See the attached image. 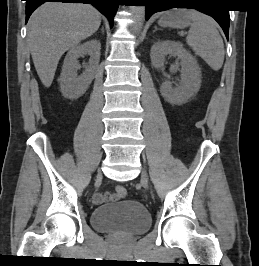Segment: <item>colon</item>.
I'll use <instances>...</instances> for the list:
<instances>
[{
    "label": "colon",
    "instance_id": "colon-1",
    "mask_svg": "<svg viewBox=\"0 0 259 266\" xmlns=\"http://www.w3.org/2000/svg\"><path fill=\"white\" fill-rule=\"evenodd\" d=\"M115 194L118 198H124L127 195V189L124 186H117L115 189Z\"/></svg>",
    "mask_w": 259,
    "mask_h": 266
}]
</instances>
